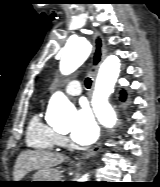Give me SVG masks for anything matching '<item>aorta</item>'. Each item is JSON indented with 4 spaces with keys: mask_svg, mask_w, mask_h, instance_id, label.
Returning <instances> with one entry per match:
<instances>
[{
    "mask_svg": "<svg viewBox=\"0 0 160 187\" xmlns=\"http://www.w3.org/2000/svg\"><path fill=\"white\" fill-rule=\"evenodd\" d=\"M91 53V45L84 38H75L67 42L60 60V71L64 75L73 73L79 68ZM120 60L116 56H109L100 66L95 89L92 97L93 110L98 121L107 128L116 124V114L108 102L114 90V85L120 73ZM73 105L67 97L56 92L50 99L47 119L50 123L60 122L69 118ZM88 174L83 175L79 182H88Z\"/></svg>",
    "mask_w": 160,
    "mask_h": 187,
    "instance_id": "obj_1",
    "label": "aorta"
}]
</instances>
